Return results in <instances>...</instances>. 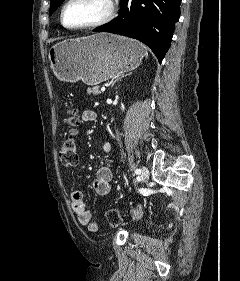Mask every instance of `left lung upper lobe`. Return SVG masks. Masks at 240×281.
<instances>
[{"label": "left lung upper lobe", "instance_id": "1", "mask_svg": "<svg viewBox=\"0 0 240 281\" xmlns=\"http://www.w3.org/2000/svg\"><path fill=\"white\" fill-rule=\"evenodd\" d=\"M64 0H50V15L60 6Z\"/></svg>", "mask_w": 240, "mask_h": 281}]
</instances>
